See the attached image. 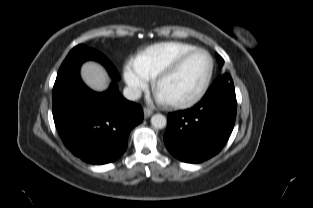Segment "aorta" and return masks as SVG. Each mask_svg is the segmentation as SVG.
I'll return each instance as SVG.
<instances>
[{
    "label": "aorta",
    "instance_id": "762f6f07",
    "mask_svg": "<svg viewBox=\"0 0 313 208\" xmlns=\"http://www.w3.org/2000/svg\"><path fill=\"white\" fill-rule=\"evenodd\" d=\"M151 124L153 127L157 128V129H162L166 126L167 119L162 114H155L151 118Z\"/></svg>",
    "mask_w": 313,
    "mask_h": 208
}]
</instances>
